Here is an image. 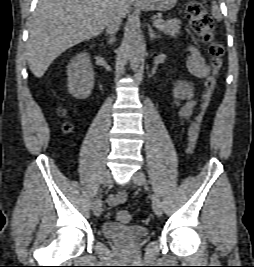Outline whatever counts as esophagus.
Instances as JSON below:
<instances>
[{
	"label": "esophagus",
	"instance_id": "esophagus-1",
	"mask_svg": "<svg viewBox=\"0 0 254 267\" xmlns=\"http://www.w3.org/2000/svg\"><path fill=\"white\" fill-rule=\"evenodd\" d=\"M130 1H132V2H140L142 0H130Z\"/></svg>",
	"mask_w": 254,
	"mask_h": 267
}]
</instances>
